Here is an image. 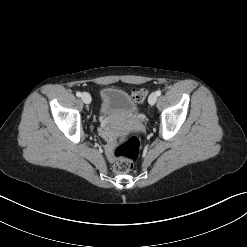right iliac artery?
Instances as JSON below:
<instances>
[{
  "mask_svg": "<svg viewBox=\"0 0 247 247\" xmlns=\"http://www.w3.org/2000/svg\"><path fill=\"white\" fill-rule=\"evenodd\" d=\"M76 96H77V97H81V96H82L81 92L78 91V92L76 93Z\"/></svg>",
  "mask_w": 247,
  "mask_h": 247,
  "instance_id": "1",
  "label": "right iliac artery"
}]
</instances>
